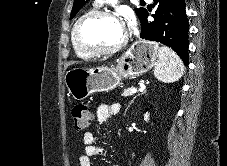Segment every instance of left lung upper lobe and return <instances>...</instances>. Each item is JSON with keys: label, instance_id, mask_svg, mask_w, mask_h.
Here are the masks:
<instances>
[{"label": "left lung upper lobe", "instance_id": "left-lung-upper-lobe-1", "mask_svg": "<svg viewBox=\"0 0 227 166\" xmlns=\"http://www.w3.org/2000/svg\"><path fill=\"white\" fill-rule=\"evenodd\" d=\"M89 0H75L74 1V5H73V9L70 15V19H72L76 13L80 10V8ZM135 12L137 13L140 22L142 21L145 13H146V9L145 8H136Z\"/></svg>", "mask_w": 227, "mask_h": 166}]
</instances>
